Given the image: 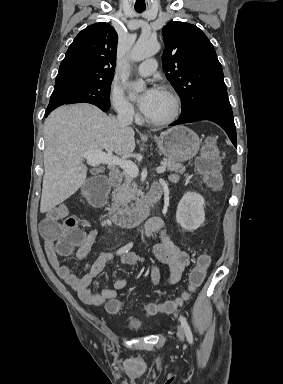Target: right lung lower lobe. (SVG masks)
Wrapping results in <instances>:
<instances>
[{"label": "right lung lower lobe", "instance_id": "98d812e1", "mask_svg": "<svg viewBox=\"0 0 283 384\" xmlns=\"http://www.w3.org/2000/svg\"><path fill=\"white\" fill-rule=\"evenodd\" d=\"M102 111H108L110 106H107V107H103V106H98ZM55 108H47L46 109V112H45V117H47L51 111H53Z\"/></svg>", "mask_w": 283, "mask_h": 384}]
</instances>
